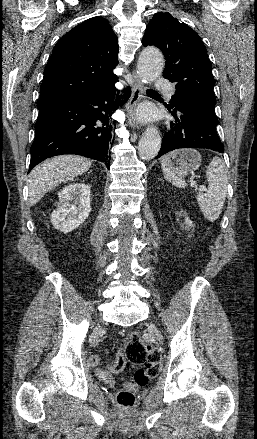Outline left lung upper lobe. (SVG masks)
I'll return each mask as SVG.
<instances>
[{
    "label": "left lung upper lobe",
    "instance_id": "1",
    "mask_svg": "<svg viewBox=\"0 0 257 439\" xmlns=\"http://www.w3.org/2000/svg\"><path fill=\"white\" fill-rule=\"evenodd\" d=\"M144 47H159L166 59L163 77L175 84L177 98L171 108L187 99L214 113L215 80L205 45L199 35L168 12L150 20L142 39Z\"/></svg>",
    "mask_w": 257,
    "mask_h": 439
}]
</instances>
